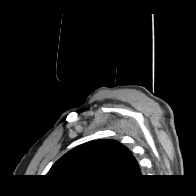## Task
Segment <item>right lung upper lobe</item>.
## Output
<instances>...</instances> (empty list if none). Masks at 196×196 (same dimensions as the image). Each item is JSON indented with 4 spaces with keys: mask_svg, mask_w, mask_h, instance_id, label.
<instances>
[{
    "mask_svg": "<svg viewBox=\"0 0 196 196\" xmlns=\"http://www.w3.org/2000/svg\"><path fill=\"white\" fill-rule=\"evenodd\" d=\"M47 175L87 184H118L136 179L141 174L128 148L117 141L102 139L69 151Z\"/></svg>",
    "mask_w": 196,
    "mask_h": 196,
    "instance_id": "obj_1",
    "label": "right lung upper lobe"
}]
</instances>
